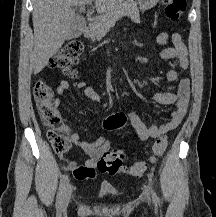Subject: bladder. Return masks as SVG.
Wrapping results in <instances>:
<instances>
[{"label":"bladder","instance_id":"obj_1","mask_svg":"<svg viewBox=\"0 0 216 217\" xmlns=\"http://www.w3.org/2000/svg\"><path fill=\"white\" fill-rule=\"evenodd\" d=\"M99 195H101L103 197H108V196L114 195V192L112 190H108V189H100Z\"/></svg>","mask_w":216,"mask_h":217}]
</instances>
